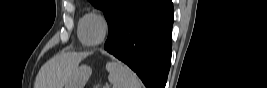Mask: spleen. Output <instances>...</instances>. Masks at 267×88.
<instances>
[{
    "label": "spleen",
    "mask_w": 267,
    "mask_h": 88,
    "mask_svg": "<svg viewBox=\"0 0 267 88\" xmlns=\"http://www.w3.org/2000/svg\"><path fill=\"white\" fill-rule=\"evenodd\" d=\"M106 69L113 88H142L141 81L127 65L119 61H111L106 64Z\"/></svg>",
    "instance_id": "obj_1"
}]
</instances>
